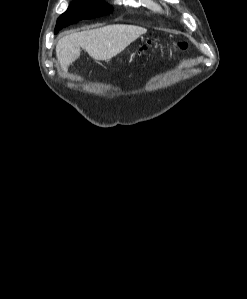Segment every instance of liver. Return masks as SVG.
I'll use <instances>...</instances> for the list:
<instances>
[{
	"label": "liver",
	"mask_w": 247,
	"mask_h": 299,
	"mask_svg": "<svg viewBox=\"0 0 247 299\" xmlns=\"http://www.w3.org/2000/svg\"><path fill=\"white\" fill-rule=\"evenodd\" d=\"M147 30L135 25L114 24L72 33L56 45V57L63 71L80 56L81 48L96 61H107L121 53Z\"/></svg>",
	"instance_id": "liver-1"
}]
</instances>
